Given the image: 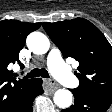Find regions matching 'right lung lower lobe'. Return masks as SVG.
I'll list each match as a JSON object with an SVG mask.
<instances>
[{"label": "right lung lower lobe", "mask_w": 112, "mask_h": 112, "mask_svg": "<svg viewBox=\"0 0 112 112\" xmlns=\"http://www.w3.org/2000/svg\"><path fill=\"white\" fill-rule=\"evenodd\" d=\"M43 92L42 79H35L13 112H33V100Z\"/></svg>", "instance_id": "98d812e1"}]
</instances>
